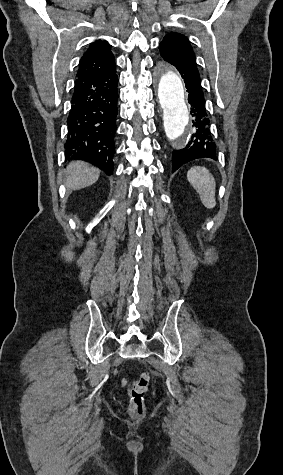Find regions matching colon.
Masks as SVG:
<instances>
[{"label":"colon","mask_w":283,"mask_h":475,"mask_svg":"<svg viewBox=\"0 0 283 475\" xmlns=\"http://www.w3.org/2000/svg\"><path fill=\"white\" fill-rule=\"evenodd\" d=\"M151 381L149 371H144L139 378L128 383L130 391L129 411L136 417H141L145 412V396Z\"/></svg>","instance_id":"obj_1"}]
</instances>
